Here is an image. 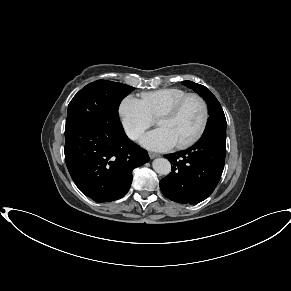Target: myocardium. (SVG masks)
Listing matches in <instances>:
<instances>
[{
	"label": "myocardium",
	"instance_id": "f54148a6",
	"mask_svg": "<svg viewBox=\"0 0 291 291\" xmlns=\"http://www.w3.org/2000/svg\"><path fill=\"white\" fill-rule=\"evenodd\" d=\"M191 98H196L202 103L203 112H204L203 113V120H202V123H201L199 130L196 132V134L194 136H192L190 139H188L182 143L175 145L178 149H185V148L192 146L203 136V134L207 128L208 122H209V106H208V103L206 102V100L199 94L189 93L186 96H184L182 99H180L178 102H176L169 109H167L162 114H160L159 117L157 118V121H159L161 119L174 118L181 111V109L183 108L185 103Z\"/></svg>",
	"mask_w": 291,
	"mask_h": 291
}]
</instances>
